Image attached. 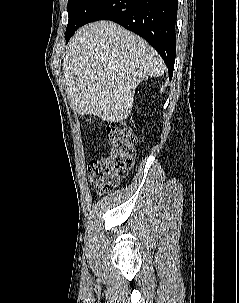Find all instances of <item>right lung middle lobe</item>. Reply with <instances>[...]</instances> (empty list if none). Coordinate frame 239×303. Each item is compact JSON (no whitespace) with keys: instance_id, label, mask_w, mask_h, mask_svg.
Returning a JSON list of instances; mask_svg holds the SVG:
<instances>
[{"instance_id":"dd1d6c3e","label":"right lung middle lobe","mask_w":239,"mask_h":303,"mask_svg":"<svg viewBox=\"0 0 239 303\" xmlns=\"http://www.w3.org/2000/svg\"><path fill=\"white\" fill-rule=\"evenodd\" d=\"M105 0H68V25L65 39L68 42L75 31L84 25L87 17L97 9Z\"/></svg>"}]
</instances>
